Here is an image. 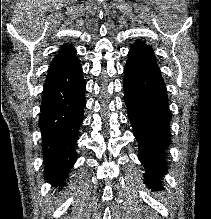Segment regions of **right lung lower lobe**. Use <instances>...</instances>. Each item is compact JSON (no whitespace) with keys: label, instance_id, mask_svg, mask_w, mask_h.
I'll return each mask as SVG.
<instances>
[{"label":"right lung lower lobe","instance_id":"98d812e1","mask_svg":"<svg viewBox=\"0 0 211 219\" xmlns=\"http://www.w3.org/2000/svg\"><path fill=\"white\" fill-rule=\"evenodd\" d=\"M86 84L82 67L75 59L49 77L44 85L39 127L46 181L64 186L75 163V142L83 121Z\"/></svg>","mask_w":211,"mask_h":219}]
</instances>
